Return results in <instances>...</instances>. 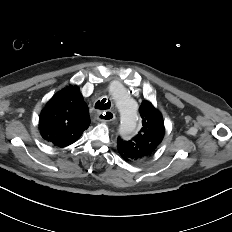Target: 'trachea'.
<instances>
[{
	"instance_id": "3493384b",
	"label": "trachea",
	"mask_w": 232,
	"mask_h": 232,
	"mask_svg": "<svg viewBox=\"0 0 232 232\" xmlns=\"http://www.w3.org/2000/svg\"><path fill=\"white\" fill-rule=\"evenodd\" d=\"M110 101L107 100L106 98H103L102 100H99L95 104V108L99 110H106L110 108Z\"/></svg>"
}]
</instances>
